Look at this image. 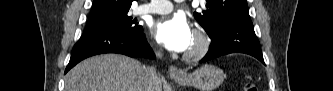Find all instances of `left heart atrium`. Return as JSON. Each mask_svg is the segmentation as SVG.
I'll return each instance as SVG.
<instances>
[{
	"label": "left heart atrium",
	"instance_id": "39dd6f15",
	"mask_svg": "<svg viewBox=\"0 0 333 91\" xmlns=\"http://www.w3.org/2000/svg\"><path fill=\"white\" fill-rule=\"evenodd\" d=\"M152 31L159 43L175 52L187 51L193 39L189 22L180 14L156 21Z\"/></svg>",
	"mask_w": 333,
	"mask_h": 91
}]
</instances>
